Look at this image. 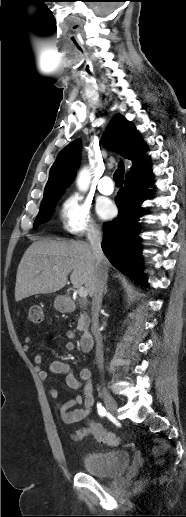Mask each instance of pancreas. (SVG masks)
<instances>
[{
	"instance_id": "obj_1",
	"label": "pancreas",
	"mask_w": 186,
	"mask_h": 517,
	"mask_svg": "<svg viewBox=\"0 0 186 517\" xmlns=\"http://www.w3.org/2000/svg\"><path fill=\"white\" fill-rule=\"evenodd\" d=\"M81 305L85 306V303H81ZM90 324V317L87 312L80 313V317L78 319V325L77 330L83 331L86 330L89 327Z\"/></svg>"
}]
</instances>
